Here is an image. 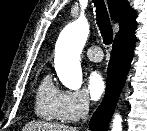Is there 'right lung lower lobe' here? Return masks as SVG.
I'll return each instance as SVG.
<instances>
[{"instance_id": "right-lung-lower-lobe-1", "label": "right lung lower lobe", "mask_w": 147, "mask_h": 131, "mask_svg": "<svg viewBox=\"0 0 147 131\" xmlns=\"http://www.w3.org/2000/svg\"><path fill=\"white\" fill-rule=\"evenodd\" d=\"M135 42L136 37L133 32L119 37L113 42L107 72L106 94L89 123L92 131H105L108 127L130 68Z\"/></svg>"}]
</instances>
